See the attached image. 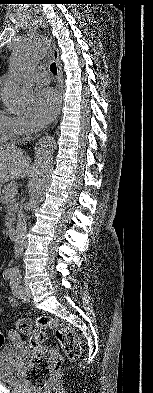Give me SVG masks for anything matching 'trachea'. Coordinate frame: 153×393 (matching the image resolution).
<instances>
[{
  "instance_id": "obj_1",
  "label": "trachea",
  "mask_w": 153,
  "mask_h": 393,
  "mask_svg": "<svg viewBox=\"0 0 153 393\" xmlns=\"http://www.w3.org/2000/svg\"><path fill=\"white\" fill-rule=\"evenodd\" d=\"M50 71H51L53 74H57V66H56V63H52V64L50 65Z\"/></svg>"
}]
</instances>
